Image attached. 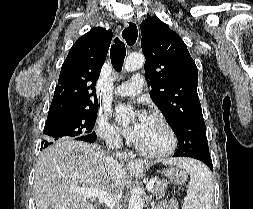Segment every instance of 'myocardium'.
<instances>
[{
	"label": "myocardium",
	"instance_id": "f54148a6",
	"mask_svg": "<svg viewBox=\"0 0 253 209\" xmlns=\"http://www.w3.org/2000/svg\"><path fill=\"white\" fill-rule=\"evenodd\" d=\"M151 118H153L154 120L158 121L159 123H161L164 128L166 129L167 133H168V138H169V143L168 146L158 152H151L148 150H145L144 148H142L139 144H135V149L143 156L150 158V159H162L165 158L167 156H169L176 148L177 146V136L175 133L174 128L172 127V125L169 123V121L164 118L163 116L159 115V114H153L151 116Z\"/></svg>",
	"mask_w": 253,
	"mask_h": 209
}]
</instances>
